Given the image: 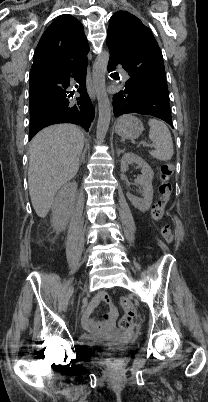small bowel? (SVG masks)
<instances>
[{
  "mask_svg": "<svg viewBox=\"0 0 208 402\" xmlns=\"http://www.w3.org/2000/svg\"><path fill=\"white\" fill-rule=\"evenodd\" d=\"M107 299H108V294L106 292H97L95 294V299L92 300L89 308L85 309L84 312H83L84 317L87 318V320H88V321H84L81 324V327L84 330H91L93 328V323L92 322L94 321V318H92V317L94 315V312H93L92 309L100 301H106ZM116 316H117V312H116L115 308L111 306L109 311L103 316V319H102L101 324H100L101 329H103V330H111L112 327H113L112 323H114Z\"/></svg>",
  "mask_w": 208,
  "mask_h": 402,
  "instance_id": "obj_1",
  "label": "small bowel"
}]
</instances>
